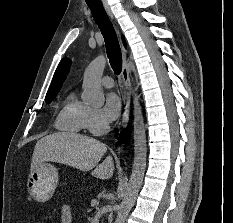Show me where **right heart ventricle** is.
<instances>
[{
    "mask_svg": "<svg viewBox=\"0 0 233 223\" xmlns=\"http://www.w3.org/2000/svg\"><path fill=\"white\" fill-rule=\"evenodd\" d=\"M87 105L71 92L58 107L53 126L56 130L66 133H78L85 127Z\"/></svg>",
    "mask_w": 233,
    "mask_h": 223,
    "instance_id": "1",
    "label": "right heart ventricle"
}]
</instances>
